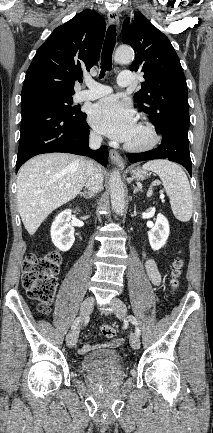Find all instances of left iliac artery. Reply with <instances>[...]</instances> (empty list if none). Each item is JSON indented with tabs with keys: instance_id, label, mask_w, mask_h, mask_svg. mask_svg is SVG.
<instances>
[{
	"instance_id": "obj_1",
	"label": "left iliac artery",
	"mask_w": 213,
	"mask_h": 433,
	"mask_svg": "<svg viewBox=\"0 0 213 433\" xmlns=\"http://www.w3.org/2000/svg\"><path fill=\"white\" fill-rule=\"evenodd\" d=\"M128 319H129V321H130L133 325H135V334H136L137 336H140V335H141V330H140V328L138 327V322H137L136 318H135L134 316H132V315H129V316H128Z\"/></svg>"
}]
</instances>
